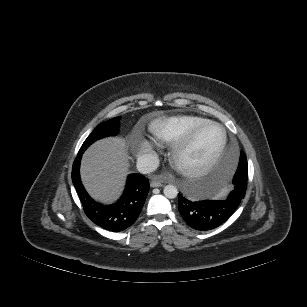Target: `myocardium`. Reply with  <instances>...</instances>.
I'll use <instances>...</instances> for the list:
<instances>
[{"mask_svg": "<svg viewBox=\"0 0 307 307\" xmlns=\"http://www.w3.org/2000/svg\"><path fill=\"white\" fill-rule=\"evenodd\" d=\"M215 126L221 131V142L213 155L204 163L196 166L183 165L180 162L181 154L187 150L198 137V135L206 128ZM227 145V133L222 125L215 121L203 123L191 130L183 139L174 144L170 152V158L173 165L184 175L189 177H198L208 173L218 162Z\"/></svg>", "mask_w": 307, "mask_h": 307, "instance_id": "myocardium-1", "label": "myocardium"}]
</instances>
